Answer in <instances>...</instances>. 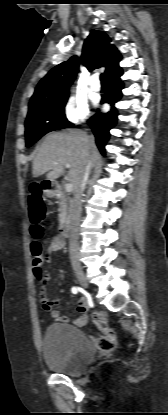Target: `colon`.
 I'll list each match as a JSON object with an SVG mask.
<instances>
[{"instance_id":"colon-1","label":"colon","mask_w":168,"mask_h":415,"mask_svg":"<svg viewBox=\"0 0 168 415\" xmlns=\"http://www.w3.org/2000/svg\"><path fill=\"white\" fill-rule=\"evenodd\" d=\"M29 218H30V233L36 241L31 245L32 250V263L33 272L38 276L42 274V263L44 258L42 256L43 247L37 240L44 235V227L42 226V220L44 217L43 202L40 194L33 190L28 199ZM93 323L96 328L102 332V336L94 339L95 345L101 352H107L112 350L116 344V336L112 329L107 326L106 319L107 314L104 312H96L92 316Z\"/></svg>"}]
</instances>
